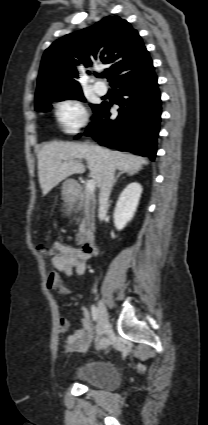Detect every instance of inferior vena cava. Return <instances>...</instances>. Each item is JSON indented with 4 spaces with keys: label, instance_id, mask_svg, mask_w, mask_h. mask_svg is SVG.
I'll use <instances>...</instances> for the list:
<instances>
[{
    "label": "inferior vena cava",
    "instance_id": "obj_1",
    "mask_svg": "<svg viewBox=\"0 0 208 425\" xmlns=\"http://www.w3.org/2000/svg\"><path fill=\"white\" fill-rule=\"evenodd\" d=\"M115 165L112 160H108L104 169L103 179L100 186L99 209H105L108 206L109 196L115 180Z\"/></svg>",
    "mask_w": 208,
    "mask_h": 425
}]
</instances>
